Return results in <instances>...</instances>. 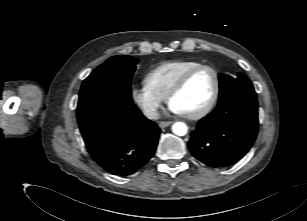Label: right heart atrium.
<instances>
[{
    "instance_id": "right-heart-atrium-1",
    "label": "right heart atrium",
    "mask_w": 307,
    "mask_h": 221,
    "mask_svg": "<svg viewBox=\"0 0 307 221\" xmlns=\"http://www.w3.org/2000/svg\"><path fill=\"white\" fill-rule=\"evenodd\" d=\"M131 98L143 114L154 119L158 115L163 98L155 95L145 85L135 86L131 90Z\"/></svg>"
}]
</instances>
